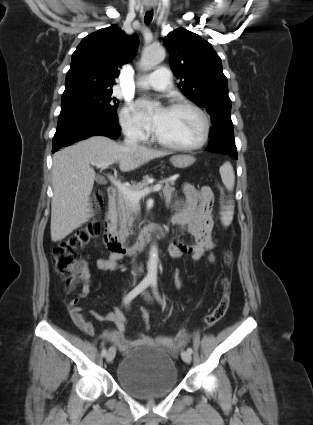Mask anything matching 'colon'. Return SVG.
Masks as SVG:
<instances>
[{
  "mask_svg": "<svg viewBox=\"0 0 313 425\" xmlns=\"http://www.w3.org/2000/svg\"><path fill=\"white\" fill-rule=\"evenodd\" d=\"M223 194V190L221 189ZM97 203H101L102 194L95 193ZM100 232V223L98 220H91L81 228L75 230L68 235L64 240L53 248V257L57 272L65 278L66 286L69 290H74L76 285L85 279L86 264L80 257V250L83 249L91 240H93ZM209 262L213 263L216 260L214 253L210 252L207 256ZM232 255L226 251L223 257L225 264H230ZM173 283L177 289L184 287L185 280L180 271L173 274ZM222 295L217 306L205 316V323L208 326H213L219 322L226 314L230 304V281L223 278L221 281ZM74 305V301L70 302ZM145 328L149 327V315H143Z\"/></svg>",
  "mask_w": 313,
  "mask_h": 425,
  "instance_id": "1",
  "label": "colon"
}]
</instances>
